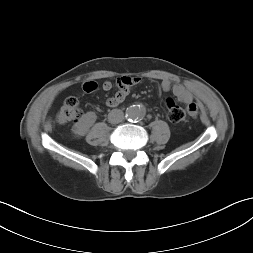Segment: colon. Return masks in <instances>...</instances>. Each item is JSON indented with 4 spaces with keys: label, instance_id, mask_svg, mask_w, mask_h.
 <instances>
[{
    "label": "colon",
    "instance_id": "colon-1",
    "mask_svg": "<svg viewBox=\"0 0 253 253\" xmlns=\"http://www.w3.org/2000/svg\"><path fill=\"white\" fill-rule=\"evenodd\" d=\"M166 115L170 122L174 124L183 123L187 117L183 113V108L175 103L172 99H167L165 103ZM82 115V109L79 101L75 97H68L61 105L56 120L58 124L65 125L76 122Z\"/></svg>",
    "mask_w": 253,
    "mask_h": 253
}]
</instances>
